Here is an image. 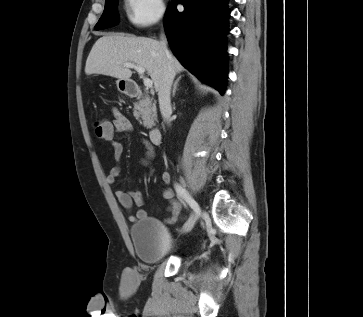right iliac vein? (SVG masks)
I'll list each match as a JSON object with an SVG mask.
<instances>
[{
    "mask_svg": "<svg viewBox=\"0 0 363 317\" xmlns=\"http://www.w3.org/2000/svg\"><path fill=\"white\" fill-rule=\"evenodd\" d=\"M199 210H200V208H199ZM194 219H191L184 227H183V232H188V231H190L191 230V228L193 227V225H194Z\"/></svg>",
    "mask_w": 363,
    "mask_h": 317,
    "instance_id": "right-iliac-vein-1",
    "label": "right iliac vein"
}]
</instances>
